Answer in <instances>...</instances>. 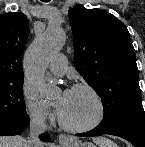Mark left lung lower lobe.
Wrapping results in <instances>:
<instances>
[{"label":"left lung lower lobe","mask_w":145,"mask_h":147,"mask_svg":"<svg viewBox=\"0 0 145 147\" xmlns=\"http://www.w3.org/2000/svg\"><path fill=\"white\" fill-rule=\"evenodd\" d=\"M103 134L122 137L132 143L135 147H145V120H137L115 126L111 129L95 128L87 133H80L77 136L90 137Z\"/></svg>","instance_id":"left-lung-lower-lobe-1"}]
</instances>
